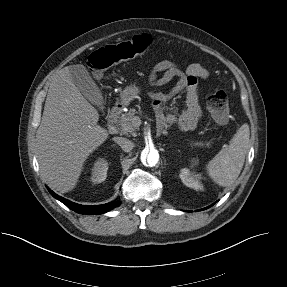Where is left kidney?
Masks as SVG:
<instances>
[{"label": "left kidney", "instance_id": "5707ae66", "mask_svg": "<svg viewBox=\"0 0 287 287\" xmlns=\"http://www.w3.org/2000/svg\"><path fill=\"white\" fill-rule=\"evenodd\" d=\"M194 165V161H193ZM180 178L182 182L190 188H193L195 190H202L203 186L200 183V176L194 175L189 169L183 168L180 171Z\"/></svg>", "mask_w": 287, "mask_h": 287}]
</instances>
